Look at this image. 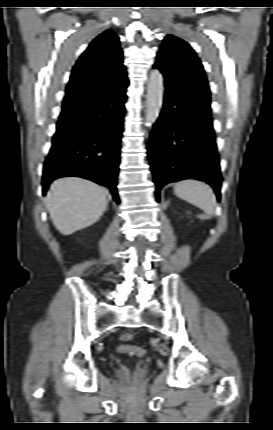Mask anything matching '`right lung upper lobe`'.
<instances>
[{
	"label": "right lung upper lobe",
	"instance_id": "cb5924a9",
	"mask_svg": "<svg viewBox=\"0 0 273 430\" xmlns=\"http://www.w3.org/2000/svg\"><path fill=\"white\" fill-rule=\"evenodd\" d=\"M128 84L119 38L110 30L96 37L75 64L61 115H76L105 85Z\"/></svg>",
	"mask_w": 273,
	"mask_h": 430
}]
</instances>
